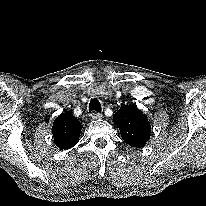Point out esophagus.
<instances>
[{
    "instance_id": "34e87169",
    "label": "esophagus",
    "mask_w": 206,
    "mask_h": 206,
    "mask_svg": "<svg viewBox=\"0 0 206 206\" xmlns=\"http://www.w3.org/2000/svg\"><path fill=\"white\" fill-rule=\"evenodd\" d=\"M90 117L92 120H98V119H101L103 117V115L101 113H98V112H93L90 115Z\"/></svg>"
}]
</instances>
